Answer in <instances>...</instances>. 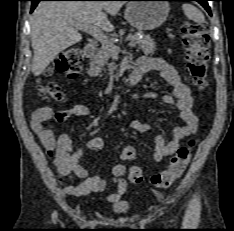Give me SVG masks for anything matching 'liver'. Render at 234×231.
<instances>
[{
	"label": "liver",
	"instance_id": "1",
	"mask_svg": "<svg viewBox=\"0 0 234 231\" xmlns=\"http://www.w3.org/2000/svg\"><path fill=\"white\" fill-rule=\"evenodd\" d=\"M123 5V1L40 2L31 17L33 74L40 75L60 52L82 40L77 23L113 31L107 14L115 16Z\"/></svg>",
	"mask_w": 234,
	"mask_h": 231
}]
</instances>
